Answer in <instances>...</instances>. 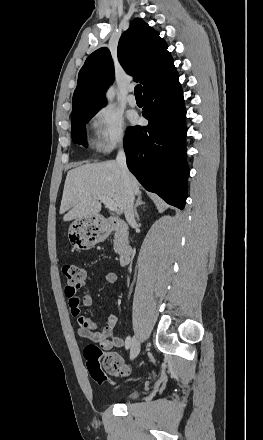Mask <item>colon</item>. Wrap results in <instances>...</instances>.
<instances>
[{
  "instance_id": "colon-1",
  "label": "colon",
  "mask_w": 263,
  "mask_h": 440,
  "mask_svg": "<svg viewBox=\"0 0 263 440\" xmlns=\"http://www.w3.org/2000/svg\"><path fill=\"white\" fill-rule=\"evenodd\" d=\"M63 274L70 287H79L86 278L85 270L76 264H65ZM86 367L91 378L98 384L109 380L108 375L127 376L130 373L129 366L122 357L115 353H104L96 345H88L84 349Z\"/></svg>"
}]
</instances>
